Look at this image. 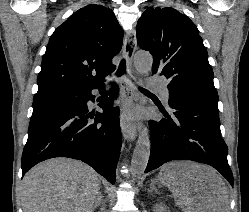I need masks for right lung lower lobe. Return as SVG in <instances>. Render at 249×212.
<instances>
[{
	"instance_id": "1",
	"label": "right lung lower lobe",
	"mask_w": 249,
	"mask_h": 212,
	"mask_svg": "<svg viewBox=\"0 0 249 212\" xmlns=\"http://www.w3.org/2000/svg\"><path fill=\"white\" fill-rule=\"evenodd\" d=\"M93 89L103 82L55 96L34 97L28 140L22 155V175L37 163L54 157L81 160L110 183H115L121 147L119 109L112 106L117 92L113 84L99 106L103 113L88 114V101H95ZM88 118H95L91 123Z\"/></svg>"
}]
</instances>
